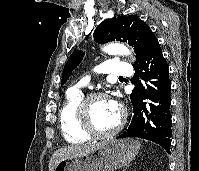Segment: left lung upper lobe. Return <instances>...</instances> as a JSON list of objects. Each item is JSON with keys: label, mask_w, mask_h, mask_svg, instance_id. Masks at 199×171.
<instances>
[{"label": "left lung upper lobe", "mask_w": 199, "mask_h": 171, "mask_svg": "<svg viewBox=\"0 0 199 171\" xmlns=\"http://www.w3.org/2000/svg\"><path fill=\"white\" fill-rule=\"evenodd\" d=\"M94 38L101 44L114 40L127 42L134 46L137 61L151 43L157 39L149 26L135 15L118 16L104 20L96 28ZM82 58V51L76 50L72 53L63 70L62 85L66 82L72 70L79 65Z\"/></svg>", "instance_id": "5c2ea615"}]
</instances>
